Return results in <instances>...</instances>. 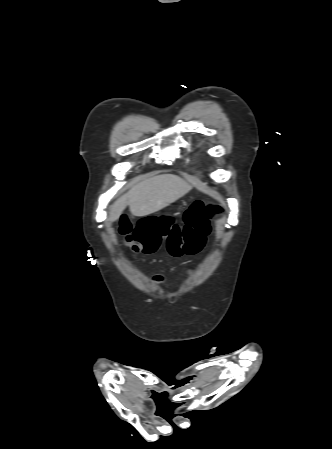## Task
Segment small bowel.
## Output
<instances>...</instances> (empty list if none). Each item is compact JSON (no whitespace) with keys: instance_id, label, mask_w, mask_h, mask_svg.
Instances as JSON below:
<instances>
[{"instance_id":"obj_1","label":"small bowel","mask_w":332,"mask_h":449,"mask_svg":"<svg viewBox=\"0 0 332 449\" xmlns=\"http://www.w3.org/2000/svg\"><path fill=\"white\" fill-rule=\"evenodd\" d=\"M155 282L161 283L163 281V276L158 274L154 277Z\"/></svg>"}]
</instances>
